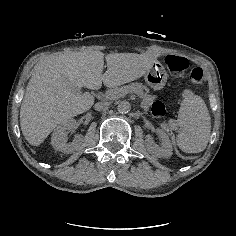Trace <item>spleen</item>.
Returning <instances> with one entry per match:
<instances>
[{
  "label": "spleen",
  "mask_w": 236,
  "mask_h": 236,
  "mask_svg": "<svg viewBox=\"0 0 236 236\" xmlns=\"http://www.w3.org/2000/svg\"><path fill=\"white\" fill-rule=\"evenodd\" d=\"M184 99L178 114L177 144L186 153L202 152L209 141L211 118L204 100L191 90L183 91Z\"/></svg>",
  "instance_id": "obj_1"
}]
</instances>
